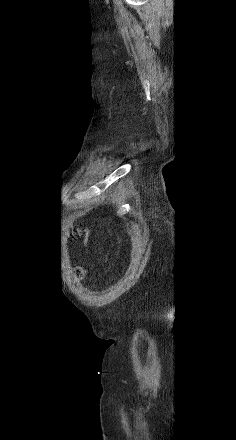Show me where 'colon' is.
Here are the masks:
<instances>
[{
	"instance_id": "1",
	"label": "colon",
	"mask_w": 236,
	"mask_h": 440,
	"mask_svg": "<svg viewBox=\"0 0 236 440\" xmlns=\"http://www.w3.org/2000/svg\"><path fill=\"white\" fill-rule=\"evenodd\" d=\"M78 275H79L80 277H82V276L84 275V271H83L82 269H79V270H78Z\"/></svg>"
}]
</instances>
